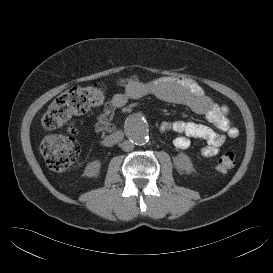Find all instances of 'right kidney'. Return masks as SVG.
Wrapping results in <instances>:
<instances>
[{
	"label": "right kidney",
	"instance_id": "1",
	"mask_svg": "<svg viewBox=\"0 0 273 273\" xmlns=\"http://www.w3.org/2000/svg\"><path fill=\"white\" fill-rule=\"evenodd\" d=\"M101 168V162L99 160H94L89 162L85 167L84 173L88 177H93L97 175Z\"/></svg>",
	"mask_w": 273,
	"mask_h": 273
}]
</instances>
